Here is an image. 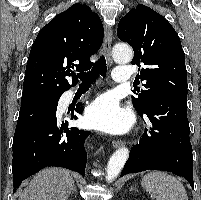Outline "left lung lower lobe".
Listing matches in <instances>:
<instances>
[{"label": "left lung lower lobe", "mask_w": 201, "mask_h": 200, "mask_svg": "<svg viewBox=\"0 0 201 200\" xmlns=\"http://www.w3.org/2000/svg\"><path fill=\"white\" fill-rule=\"evenodd\" d=\"M139 114H145L152 127L131 149L121 177L145 170H162L184 177L193 187L187 97L167 95L155 98Z\"/></svg>", "instance_id": "1"}]
</instances>
